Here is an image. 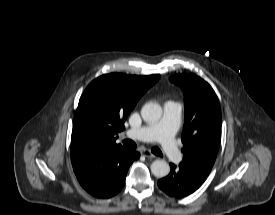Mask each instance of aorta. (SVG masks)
Returning a JSON list of instances; mask_svg holds the SVG:
<instances>
[{"instance_id":"1","label":"aorta","mask_w":275,"mask_h":215,"mask_svg":"<svg viewBox=\"0 0 275 215\" xmlns=\"http://www.w3.org/2000/svg\"><path fill=\"white\" fill-rule=\"evenodd\" d=\"M141 116L147 123H155L162 116V108L158 103H146L141 109ZM151 172L158 178L165 177L170 172V166L165 160H155L151 164Z\"/></svg>"}]
</instances>
